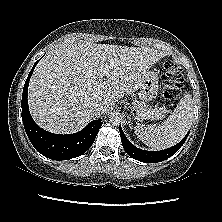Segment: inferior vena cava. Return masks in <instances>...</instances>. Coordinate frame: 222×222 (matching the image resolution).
<instances>
[{
	"label": "inferior vena cava",
	"instance_id": "inferior-vena-cava-1",
	"mask_svg": "<svg viewBox=\"0 0 222 222\" xmlns=\"http://www.w3.org/2000/svg\"><path fill=\"white\" fill-rule=\"evenodd\" d=\"M103 107L100 104H95L91 106V111L93 114H99L102 111Z\"/></svg>",
	"mask_w": 222,
	"mask_h": 222
}]
</instances>
